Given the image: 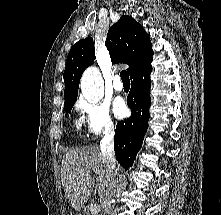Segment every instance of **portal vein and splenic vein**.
I'll return each instance as SVG.
<instances>
[{"mask_svg":"<svg viewBox=\"0 0 221 215\" xmlns=\"http://www.w3.org/2000/svg\"><path fill=\"white\" fill-rule=\"evenodd\" d=\"M96 210H98V206L97 205H92L91 206V211L93 212V211H96Z\"/></svg>","mask_w":221,"mask_h":215,"instance_id":"1","label":"portal vein and splenic vein"}]
</instances>
